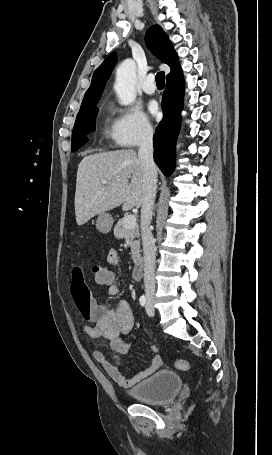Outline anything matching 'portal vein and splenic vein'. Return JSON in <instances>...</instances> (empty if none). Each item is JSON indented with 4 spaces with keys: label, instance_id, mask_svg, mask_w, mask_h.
Masks as SVG:
<instances>
[{
    "label": "portal vein and splenic vein",
    "instance_id": "obj_1",
    "mask_svg": "<svg viewBox=\"0 0 272 455\" xmlns=\"http://www.w3.org/2000/svg\"><path fill=\"white\" fill-rule=\"evenodd\" d=\"M103 184H107V180H102L101 181ZM136 225V217L134 215H129L124 218V226L125 228H132Z\"/></svg>",
    "mask_w": 272,
    "mask_h": 455
}]
</instances>
